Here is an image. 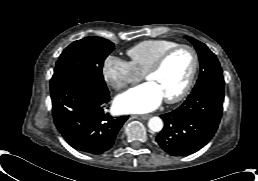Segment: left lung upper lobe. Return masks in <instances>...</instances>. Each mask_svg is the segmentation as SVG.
Listing matches in <instances>:
<instances>
[{
    "label": "left lung upper lobe",
    "instance_id": "1",
    "mask_svg": "<svg viewBox=\"0 0 258 181\" xmlns=\"http://www.w3.org/2000/svg\"><path fill=\"white\" fill-rule=\"evenodd\" d=\"M185 37L194 45L200 59V75L190 95L209 87H224L222 69L215 54L202 42L189 36Z\"/></svg>",
    "mask_w": 258,
    "mask_h": 181
}]
</instances>
